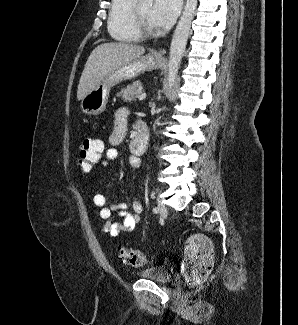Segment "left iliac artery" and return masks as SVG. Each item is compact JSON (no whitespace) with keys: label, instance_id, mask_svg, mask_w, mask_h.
I'll return each instance as SVG.
<instances>
[{"label":"left iliac artery","instance_id":"obj_1","mask_svg":"<svg viewBox=\"0 0 298 325\" xmlns=\"http://www.w3.org/2000/svg\"><path fill=\"white\" fill-rule=\"evenodd\" d=\"M153 212H154V213H158V212H159L158 208H157V207H154V208H153Z\"/></svg>","mask_w":298,"mask_h":325}]
</instances>
